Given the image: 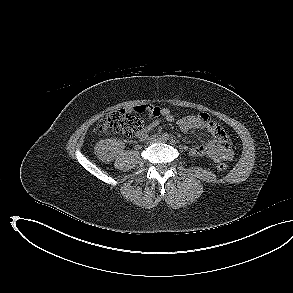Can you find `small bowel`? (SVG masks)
<instances>
[{"instance_id": "small-bowel-1", "label": "small bowel", "mask_w": 293, "mask_h": 293, "mask_svg": "<svg viewBox=\"0 0 293 293\" xmlns=\"http://www.w3.org/2000/svg\"><path fill=\"white\" fill-rule=\"evenodd\" d=\"M134 110L138 113H147L150 118L155 119L136 133L138 140L145 139L148 133L160 124L161 120L172 122L175 119L172 112L167 108L141 105L135 107ZM177 124L182 132L186 133L193 129H206L213 136L210 141L190 148L189 154L191 156H206L214 162L232 159L233 151L224 129L206 113L184 116L177 121Z\"/></svg>"}]
</instances>
